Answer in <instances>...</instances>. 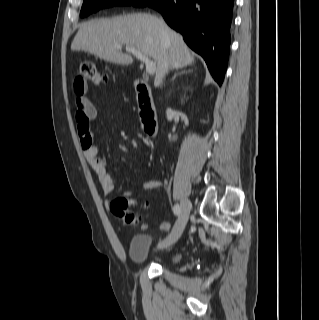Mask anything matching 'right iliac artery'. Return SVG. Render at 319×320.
<instances>
[{
	"instance_id": "1",
	"label": "right iliac artery",
	"mask_w": 319,
	"mask_h": 320,
	"mask_svg": "<svg viewBox=\"0 0 319 320\" xmlns=\"http://www.w3.org/2000/svg\"><path fill=\"white\" fill-rule=\"evenodd\" d=\"M173 212L176 216H179L181 213V207L179 206V204L174 205L173 207Z\"/></svg>"
}]
</instances>
